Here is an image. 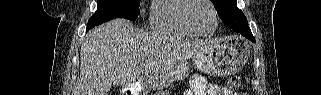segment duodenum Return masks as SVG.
<instances>
[{"label": "duodenum", "instance_id": "obj_1", "mask_svg": "<svg viewBox=\"0 0 321 95\" xmlns=\"http://www.w3.org/2000/svg\"><path fill=\"white\" fill-rule=\"evenodd\" d=\"M123 95H134V93L131 91H127V92H123Z\"/></svg>", "mask_w": 321, "mask_h": 95}]
</instances>
